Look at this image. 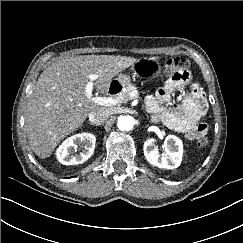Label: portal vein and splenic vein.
Listing matches in <instances>:
<instances>
[{"label":"portal vein and splenic vein","mask_w":243,"mask_h":243,"mask_svg":"<svg viewBox=\"0 0 243 243\" xmlns=\"http://www.w3.org/2000/svg\"><path fill=\"white\" fill-rule=\"evenodd\" d=\"M97 77H98V75H95V74H91L89 76V81L85 85V93H86L87 98L91 99L94 103H96L97 105H100V106H114V105H117L118 103H120V101L116 98L100 97V96L93 97L92 96L94 81L96 80ZM135 96L136 95L134 92L130 93V98H133Z\"/></svg>","instance_id":"18ae733b"}]
</instances>
